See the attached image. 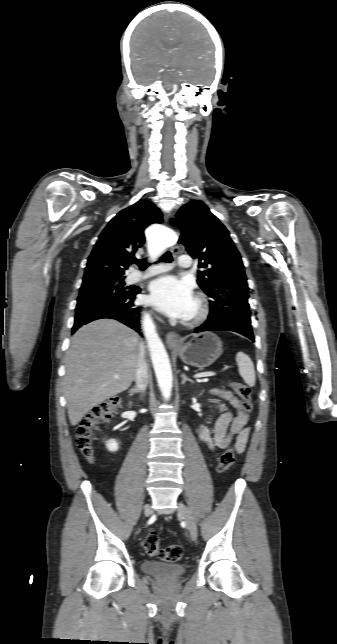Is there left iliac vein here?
<instances>
[{
  "mask_svg": "<svg viewBox=\"0 0 337 644\" xmlns=\"http://www.w3.org/2000/svg\"><path fill=\"white\" fill-rule=\"evenodd\" d=\"M178 514H179V515L184 519V521L186 522V526H187V529H188V530H189V532H190L191 539H192L193 541H195V540H196V538H197V526H196V523H195V521H194V518H193V516H192V514H191L190 510H189V509H188V507H187L186 505H184L183 503H179V504H178Z\"/></svg>",
  "mask_w": 337,
  "mask_h": 644,
  "instance_id": "1",
  "label": "left iliac vein"
}]
</instances>
